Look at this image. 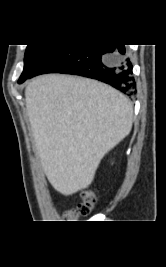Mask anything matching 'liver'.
<instances>
[{
	"label": "liver",
	"instance_id": "obj_1",
	"mask_svg": "<svg viewBox=\"0 0 166 267\" xmlns=\"http://www.w3.org/2000/svg\"><path fill=\"white\" fill-rule=\"evenodd\" d=\"M25 100L44 173L65 196L92 183L101 159L132 128L130 101L91 79L42 75L27 85Z\"/></svg>",
	"mask_w": 166,
	"mask_h": 267
}]
</instances>
